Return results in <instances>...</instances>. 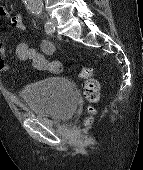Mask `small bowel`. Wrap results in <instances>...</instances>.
I'll return each mask as SVG.
<instances>
[{
    "instance_id": "1",
    "label": "small bowel",
    "mask_w": 143,
    "mask_h": 170,
    "mask_svg": "<svg viewBox=\"0 0 143 170\" xmlns=\"http://www.w3.org/2000/svg\"><path fill=\"white\" fill-rule=\"evenodd\" d=\"M0 17H11V25L17 30L24 31L26 29L23 18L20 14L11 16L9 9L0 4ZM15 54L17 59L21 61L30 60L33 67L39 71H56L55 67L60 65L58 61H50L46 56L22 42L17 45ZM5 47L0 41V72L8 70V66L4 60Z\"/></svg>"
}]
</instances>
